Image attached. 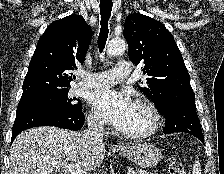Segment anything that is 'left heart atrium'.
Returning a JSON list of instances; mask_svg holds the SVG:
<instances>
[{"mask_svg":"<svg viewBox=\"0 0 224 174\" xmlns=\"http://www.w3.org/2000/svg\"><path fill=\"white\" fill-rule=\"evenodd\" d=\"M90 103L102 118L118 129L123 127L134 105L128 94L114 89L93 92Z\"/></svg>","mask_w":224,"mask_h":174,"instance_id":"left-heart-atrium-1","label":"left heart atrium"}]
</instances>
